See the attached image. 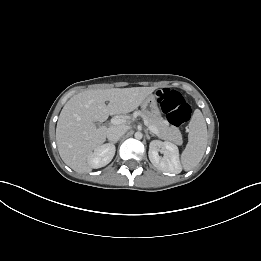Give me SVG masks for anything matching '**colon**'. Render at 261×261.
<instances>
[{
	"label": "colon",
	"mask_w": 261,
	"mask_h": 261,
	"mask_svg": "<svg viewBox=\"0 0 261 261\" xmlns=\"http://www.w3.org/2000/svg\"><path fill=\"white\" fill-rule=\"evenodd\" d=\"M158 103L168 120L175 126H182L191 116V108L184 97L173 89H160L156 92Z\"/></svg>",
	"instance_id": "colon-1"
}]
</instances>
